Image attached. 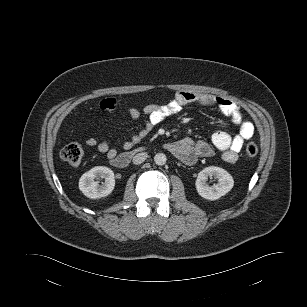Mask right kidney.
Returning a JSON list of instances; mask_svg holds the SVG:
<instances>
[{"label":"right kidney","instance_id":"ca27d5eb","mask_svg":"<svg viewBox=\"0 0 307 307\" xmlns=\"http://www.w3.org/2000/svg\"><path fill=\"white\" fill-rule=\"evenodd\" d=\"M103 178L105 182L99 184L95 179ZM115 179L113 171L105 166H97L84 173L79 180V189L90 199L108 196L114 189Z\"/></svg>","mask_w":307,"mask_h":307}]
</instances>
